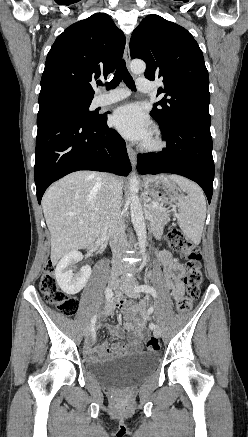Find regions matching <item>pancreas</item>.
Instances as JSON below:
<instances>
[{"instance_id": "pancreas-1", "label": "pancreas", "mask_w": 248, "mask_h": 437, "mask_svg": "<svg viewBox=\"0 0 248 437\" xmlns=\"http://www.w3.org/2000/svg\"><path fill=\"white\" fill-rule=\"evenodd\" d=\"M158 203V202H156ZM148 210L152 216V228L154 234L160 232L163 227L169 222V212L163 207V204L157 206H148Z\"/></svg>"}]
</instances>
